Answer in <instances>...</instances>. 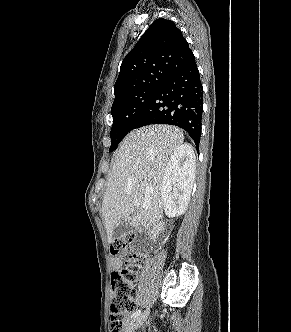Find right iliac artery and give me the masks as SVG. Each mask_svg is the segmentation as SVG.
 Masks as SVG:
<instances>
[{
	"mask_svg": "<svg viewBox=\"0 0 291 332\" xmlns=\"http://www.w3.org/2000/svg\"><path fill=\"white\" fill-rule=\"evenodd\" d=\"M140 314H141V310H137L131 315V318H135V317L139 316Z\"/></svg>",
	"mask_w": 291,
	"mask_h": 332,
	"instance_id": "obj_1",
	"label": "right iliac artery"
}]
</instances>
